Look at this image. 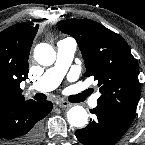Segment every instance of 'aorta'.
I'll return each instance as SVG.
<instances>
[{
  "label": "aorta",
  "mask_w": 145,
  "mask_h": 145,
  "mask_svg": "<svg viewBox=\"0 0 145 145\" xmlns=\"http://www.w3.org/2000/svg\"><path fill=\"white\" fill-rule=\"evenodd\" d=\"M34 58L42 66H50L56 60V52L47 43H40L34 49ZM68 123L76 128H81L87 124L88 113L82 106L76 105L67 112Z\"/></svg>",
  "instance_id": "aorta-1"
}]
</instances>
